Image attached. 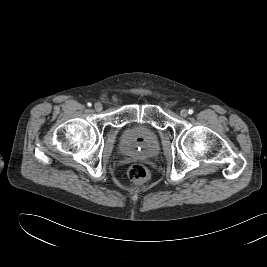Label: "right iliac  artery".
Listing matches in <instances>:
<instances>
[{"mask_svg":"<svg viewBox=\"0 0 267 267\" xmlns=\"http://www.w3.org/2000/svg\"><path fill=\"white\" fill-rule=\"evenodd\" d=\"M91 105H92V104H91L90 102H88V103H87V106H89V107H90Z\"/></svg>","mask_w":267,"mask_h":267,"instance_id":"1","label":"right iliac artery"}]
</instances>
